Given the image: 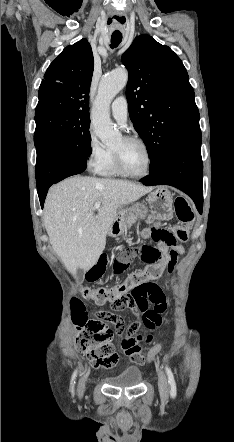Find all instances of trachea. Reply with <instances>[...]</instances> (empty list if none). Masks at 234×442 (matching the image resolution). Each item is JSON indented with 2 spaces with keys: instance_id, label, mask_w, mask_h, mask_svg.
I'll return each mask as SVG.
<instances>
[{
  "instance_id": "obj_1",
  "label": "trachea",
  "mask_w": 234,
  "mask_h": 442,
  "mask_svg": "<svg viewBox=\"0 0 234 442\" xmlns=\"http://www.w3.org/2000/svg\"><path fill=\"white\" fill-rule=\"evenodd\" d=\"M122 41V36H113L111 37V48L117 47Z\"/></svg>"
}]
</instances>
